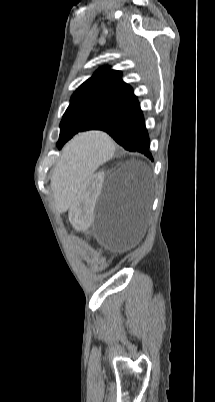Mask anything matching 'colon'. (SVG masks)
Returning <instances> with one entry per match:
<instances>
[{
	"label": "colon",
	"instance_id": "colon-1",
	"mask_svg": "<svg viewBox=\"0 0 215 402\" xmlns=\"http://www.w3.org/2000/svg\"><path fill=\"white\" fill-rule=\"evenodd\" d=\"M67 243L74 244V248L79 251L81 260H97L100 265L104 264V251H95L93 244H88L87 240H83L80 236H70L69 233L64 234Z\"/></svg>",
	"mask_w": 215,
	"mask_h": 402
}]
</instances>
